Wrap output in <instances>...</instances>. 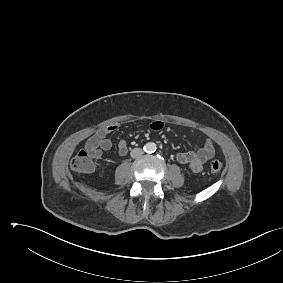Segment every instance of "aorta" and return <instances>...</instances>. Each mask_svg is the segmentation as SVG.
Masks as SVG:
<instances>
[{"label":"aorta","instance_id":"aorta-1","mask_svg":"<svg viewBox=\"0 0 283 283\" xmlns=\"http://www.w3.org/2000/svg\"><path fill=\"white\" fill-rule=\"evenodd\" d=\"M145 147H146V151L149 153H153L154 151H156L155 143H147Z\"/></svg>","mask_w":283,"mask_h":283}]
</instances>
